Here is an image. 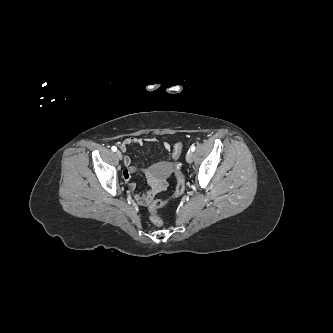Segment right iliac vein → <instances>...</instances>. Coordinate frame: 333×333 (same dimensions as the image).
I'll return each mask as SVG.
<instances>
[{
  "mask_svg": "<svg viewBox=\"0 0 333 333\" xmlns=\"http://www.w3.org/2000/svg\"><path fill=\"white\" fill-rule=\"evenodd\" d=\"M116 156H117L119 159H122V153H121V151L117 150V151H116Z\"/></svg>",
  "mask_w": 333,
  "mask_h": 333,
  "instance_id": "right-iliac-vein-1",
  "label": "right iliac vein"
}]
</instances>
